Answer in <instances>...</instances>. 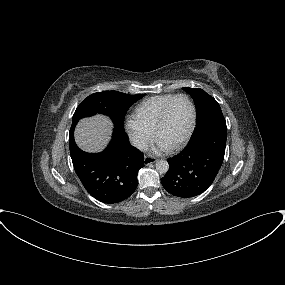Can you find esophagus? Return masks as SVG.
<instances>
[{"instance_id":"1","label":"esophagus","mask_w":285,"mask_h":285,"mask_svg":"<svg viewBox=\"0 0 285 285\" xmlns=\"http://www.w3.org/2000/svg\"><path fill=\"white\" fill-rule=\"evenodd\" d=\"M156 161L157 159L154 157L145 156L143 163L144 165L148 166L149 164L155 163Z\"/></svg>"}]
</instances>
